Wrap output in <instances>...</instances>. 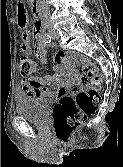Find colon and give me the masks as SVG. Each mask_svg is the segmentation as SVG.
<instances>
[{"label":"colon","mask_w":123,"mask_h":167,"mask_svg":"<svg viewBox=\"0 0 123 167\" xmlns=\"http://www.w3.org/2000/svg\"><path fill=\"white\" fill-rule=\"evenodd\" d=\"M33 61L22 56L19 60V72L22 76H29L34 71ZM82 80L88 89H80L74 96L59 97L53 112V122L56 136L61 141H67L74 131L92 115L100 102L99 90L103 87V78L93 62L81 65Z\"/></svg>","instance_id":"colon-1"}]
</instances>
